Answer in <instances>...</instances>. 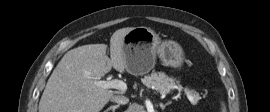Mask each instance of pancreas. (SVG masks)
Listing matches in <instances>:
<instances>
[{
    "mask_svg": "<svg viewBox=\"0 0 270 112\" xmlns=\"http://www.w3.org/2000/svg\"><path fill=\"white\" fill-rule=\"evenodd\" d=\"M142 82L148 88H153L161 94L170 92V90L175 86L174 79L161 72H153L151 75L145 76L142 78ZM198 99L199 96L194 94V101L192 103L196 104Z\"/></svg>",
    "mask_w": 270,
    "mask_h": 112,
    "instance_id": "1",
    "label": "pancreas"
}]
</instances>
